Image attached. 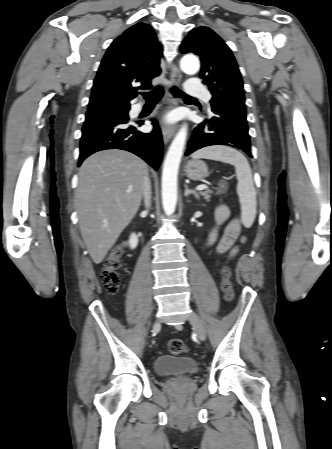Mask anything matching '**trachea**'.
<instances>
[{
	"instance_id": "obj_1",
	"label": "trachea",
	"mask_w": 332,
	"mask_h": 449,
	"mask_svg": "<svg viewBox=\"0 0 332 449\" xmlns=\"http://www.w3.org/2000/svg\"><path fill=\"white\" fill-rule=\"evenodd\" d=\"M171 92L176 98H184V99H190L195 100V98L185 94L183 91L179 90L177 87H173ZM164 93V89L162 86H157L155 89H153L150 92H141V95L145 98L147 102H157L159 101Z\"/></svg>"
}]
</instances>
